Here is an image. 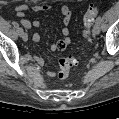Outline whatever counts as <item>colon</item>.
Wrapping results in <instances>:
<instances>
[{
  "instance_id": "1",
  "label": "colon",
  "mask_w": 119,
  "mask_h": 119,
  "mask_svg": "<svg viewBox=\"0 0 119 119\" xmlns=\"http://www.w3.org/2000/svg\"><path fill=\"white\" fill-rule=\"evenodd\" d=\"M99 12V9L97 6L91 4L88 9L86 10L84 17H83V22L85 26L84 34L86 36L89 35V27L96 18L97 14ZM77 63V59L73 55H69L65 58H62L59 61V72H58V77L60 79H66L69 76V72L71 68Z\"/></svg>"
}]
</instances>
